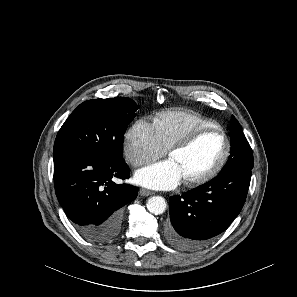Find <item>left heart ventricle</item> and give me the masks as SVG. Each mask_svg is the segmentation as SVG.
Returning a JSON list of instances; mask_svg holds the SVG:
<instances>
[{
	"label": "left heart ventricle",
	"instance_id": "1",
	"mask_svg": "<svg viewBox=\"0 0 297 297\" xmlns=\"http://www.w3.org/2000/svg\"><path fill=\"white\" fill-rule=\"evenodd\" d=\"M224 142L217 133L199 137L188 148L170 156L181 168L184 179L200 176L211 169L220 159Z\"/></svg>",
	"mask_w": 297,
	"mask_h": 297
}]
</instances>
